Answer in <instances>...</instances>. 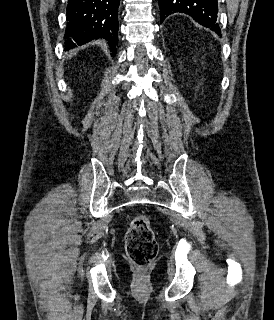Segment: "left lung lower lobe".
I'll list each match as a JSON object with an SVG mask.
<instances>
[{
	"label": "left lung lower lobe",
	"mask_w": 274,
	"mask_h": 320,
	"mask_svg": "<svg viewBox=\"0 0 274 320\" xmlns=\"http://www.w3.org/2000/svg\"><path fill=\"white\" fill-rule=\"evenodd\" d=\"M160 23L175 12L190 15L199 24L220 34L217 0H159Z\"/></svg>",
	"instance_id": "left-lung-lower-lobe-1"
}]
</instances>
